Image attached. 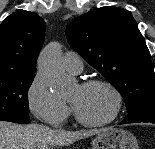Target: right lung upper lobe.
Wrapping results in <instances>:
<instances>
[{"label":"right lung upper lobe","instance_id":"obj_1","mask_svg":"<svg viewBox=\"0 0 155 149\" xmlns=\"http://www.w3.org/2000/svg\"><path fill=\"white\" fill-rule=\"evenodd\" d=\"M45 29L36 13L18 10L8 16L0 26V74L36 72Z\"/></svg>","mask_w":155,"mask_h":149}]
</instances>
